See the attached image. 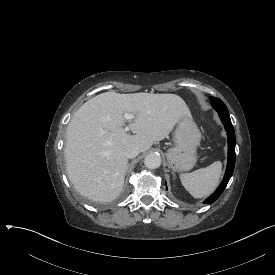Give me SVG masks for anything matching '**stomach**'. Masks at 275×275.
<instances>
[{
	"mask_svg": "<svg viewBox=\"0 0 275 275\" xmlns=\"http://www.w3.org/2000/svg\"><path fill=\"white\" fill-rule=\"evenodd\" d=\"M174 147L167 152L169 167L174 171H188L196 163V149L201 141V132L190 114L182 115L174 132Z\"/></svg>",
	"mask_w": 275,
	"mask_h": 275,
	"instance_id": "1",
	"label": "stomach"
}]
</instances>
